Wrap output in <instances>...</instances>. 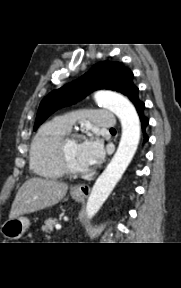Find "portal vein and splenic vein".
Here are the masks:
<instances>
[{
	"instance_id": "portal-vein-and-splenic-vein-1",
	"label": "portal vein and splenic vein",
	"mask_w": 181,
	"mask_h": 288,
	"mask_svg": "<svg viewBox=\"0 0 181 288\" xmlns=\"http://www.w3.org/2000/svg\"><path fill=\"white\" fill-rule=\"evenodd\" d=\"M55 228H56L57 230H60V229H61V225L57 224V225L55 226Z\"/></svg>"
}]
</instances>
